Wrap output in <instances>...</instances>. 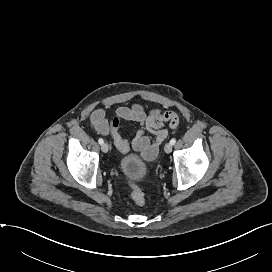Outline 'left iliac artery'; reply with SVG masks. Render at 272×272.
Returning a JSON list of instances; mask_svg holds the SVG:
<instances>
[{
    "label": "left iliac artery",
    "mask_w": 272,
    "mask_h": 272,
    "mask_svg": "<svg viewBox=\"0 0 272 272\" xmlns=\"http://www.w3.org/2000/svg\"><path fill=\"white\" fill-rule=\"evenodd\" d=\"M176 143V139L175 138H172L171 140H170V144L171 145H174Z\"/></svg>",
    "instance_id": "44dca946"
}]
</instances>
